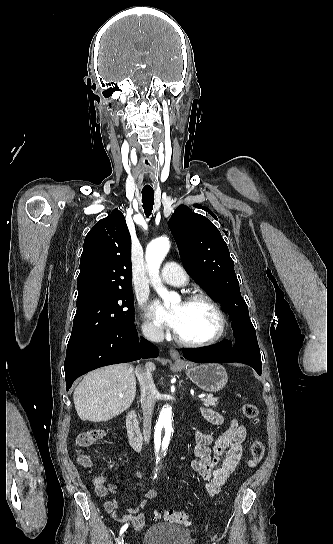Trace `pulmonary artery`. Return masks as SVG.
I'll return each mask as SVG.
<instances>
[{
	"label": "pulmonary artery",
	"instance_id": "obj_1",
	"mask_svg": "<svg viewBox=\"0 0 333 544\" xmlns=\"http://www.w3.org/2000/svg\"><path fill=\"white\" fill-rule=\"evenodd\" d=\"M161 278L168 284L174 286H182L187 282V274L185 270L175 262H167L162 271Z\"/></svg>",
	"mask_w": 333,
	"mask_h": 544
}]
</instances>
